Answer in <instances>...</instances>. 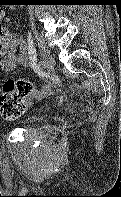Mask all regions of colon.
<instances>
[{"mask_svg": "<svg viewBox=\"0 0 121 197\" xmlns=\"http://www.w3.org/2000/svg\"><path fill=\"white\" fill-rule=\"evenodd\" d=\"M34 86L25 79L8 80L0 91V115L6 120H16L25 114L27 102Z\"/></svg>", "mask_w": 121, "mask_h": 197, "instance_id": "1", "label": "colon"}]
</instances>
